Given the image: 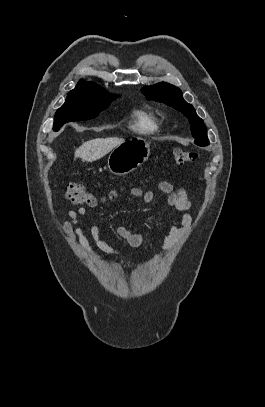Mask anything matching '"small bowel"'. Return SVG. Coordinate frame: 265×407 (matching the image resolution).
Wrapping results in <instances>:
<instances>
[{"label": "small bowel", "instance_id": "obj_1", "mask_svg": "<svg viewBox=\"0 0 265 407\" xmlns=\"http://www.w3.org/2000/svg\"><path fill=\"white\" fill-rule=\"evenodd\" d=\"M159 190L165 194L167 205L176 210L179 214V224H171L168 234L165 236L161 251L155 254L159 257L172 250L177 243L189 233L192 217L189 213L191 203L188 200L186 191L183 188H175L167 181H161L158 184ZM133 197L142 198L146 203L153 200L154 194L152 191H143L139 187H133L130 190ZM87 215V209L80 207L77 210H69L67 220L63 223V231L74 242H76L88 255L92 258H99L101 253H106L113 256H120L119 250L108 244L100 236V227L98 224H92L90 234L94 245H92L85 235L83 228L80 226V218ZM119 237L124 239L131 246H141L146 242V237L132 228L119 226L116 229Z\"/></svg>", "mask_w": 265, "mask_h": 407}]
</instances>
